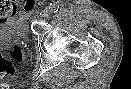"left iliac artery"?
<instances>
[{
	"mask_svg": "<svg viewBox=\"0 0 131 89\" xmlns=\"http://www.w3.org/2000/svg\"><path fill=\"white\" fill-rule=\"evenodd\" d=\"M49 9L52 12H57L59 10V5L57 4V2L50 3Z\"/></svg>",
	"mask_w": 131,
	"mask_h": 89,
	"instance_id": "left-iliac-artery-1",
	"label": "left iliac artery"
}]
</instances>
